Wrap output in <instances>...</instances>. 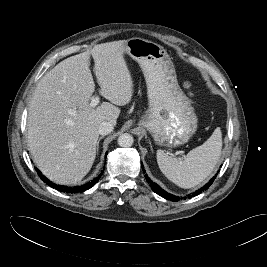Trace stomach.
<instances>
[{
    "label": "stomach",
    "instance_id": "1",
    "mask_svg": "<svg viewBox=\"0 0 267 267\" xmlns=\"http://www.w3.org/2000/svg\"><path fill=\"white\" fill-rule=\"evenodd\" d=\"M124 53L139 63L146 80L149 107L139 125L158 145L176 147L188 142L197 130L198 118L178 84L167 51L152 41L131 38L125 43Z\"/></svg>",
    "mask_w": 267,
    "mask_h": 267
}]
</instances>
